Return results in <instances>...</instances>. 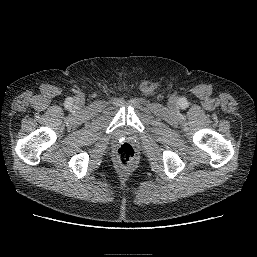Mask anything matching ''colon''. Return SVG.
Wrapping results in <instances>:
<instances>
[{
  "label": "colon",
  "mask_w": 257,
  "mask_h": 257,
  "mask_svg": "<svg viewBox=\"0 0 257 257\" xmlns=\"http://www.w3.org/2000/svg\"><path fill=\"white\" fill-rule=\"evenodd\" d=\"M135 158V149L129 143H123L117 149V160L122 168H129Z\"/></svg>",
  "instance_id": "obj_1"
}]
</instances>
